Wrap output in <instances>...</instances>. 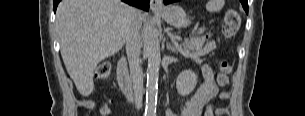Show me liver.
Returning a JSON list of instances; mask_svg holds the SVG:
<instances>
[{
    "mask_svg": "<svg viewBox=\"0 0 305 116\" xmlns=\"http://www.w3.org/2000/svg\"><path fill=\"white\" fill-rule=\"evenodd\" d=\"M144 14L121 0H62L56 28L65 67L77 90L89 96L97 65L124 45L130 22Z\"/></svg>",
    "mask_w": 305,
    "mask_h": 116,
    "instance_id": "liver-1",
    "label": "liver"
}]
</instances>
